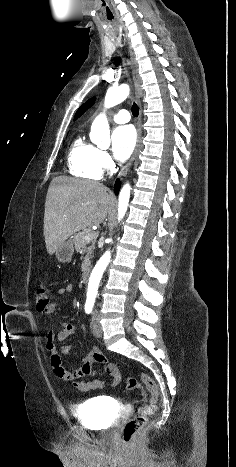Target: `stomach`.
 <instances>
[{"label":"stomach","mask_w":236,"mask_h":467,"mask_svg":"<svg viewBox=\"0 0 236 467\" xmlns=\"http://www.w3.org/2000/svg\"><path fill=\"white\" fill-rule=\"evenodd\" d=\"M73 253V243L71 240H67L57 248L55 255L59 262L66 263L72 259Z\"/></svg>","instance_id":"obj_1"}]
</instances>
